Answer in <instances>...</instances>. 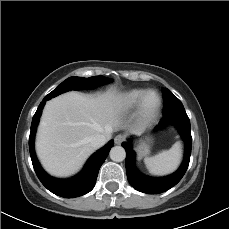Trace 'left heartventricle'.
<instances>
[{"mask_svg":"<svg viewBox=\"0 0 229 229\" xmlns=\"http://www.w3.org/2000/svg\"><path fill=\"white\" fill-rule=\"evenodd\" d=\"M150 102H151V103H154V102H155V97H154V96H152V97L150 98Z\"/></svg>","mask_w":229,"mask_h":229,"instance_id":"left-heart-ventricle-1","label":"left heart ventricle"}]
</instances>
